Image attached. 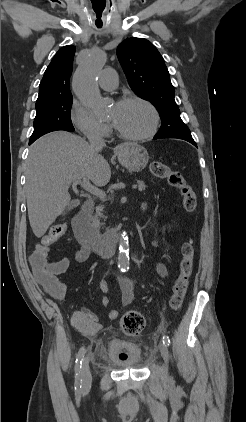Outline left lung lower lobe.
Segmentation results:
<instances>
[{
	"label": "left lung lower lobe",
	"mask_w": 246,
	"mask_h": 422,
	"mask_svg": "<svg viewBox=\"0 0 246 422\" xmlns=\"http://www.w3.org/2000/svg\"><path fill=\"white\" fill-rule=\"evenodd\" d=\"M177 138H179V139H183V140H186V141H188V142L192 143L194 146H196V147H197V145H196V143H195V141L193 140V138H192V137H177ZM153 139H162V138H158V137H155V136H154V138H153Z\"/></svg>",
	"instance_id": "0a47b994"
}]
</instances>
